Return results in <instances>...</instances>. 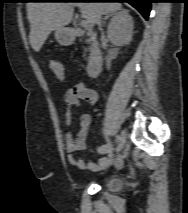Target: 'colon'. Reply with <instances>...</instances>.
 <instances>
[{
	"label": "colon",
	"instance_id": "1",
	"mask_svg": "<svg viewBox=\"0 0 188 213\" xmlns=\"http://www.w3.org/2000/svg\"><path fill=\"white\" fill-rule=\"evenodd\" d=\"M50 68L57 78L64 79V77H65L64 68L59 61L51 60L50 61Z\"/></svg>",
	"mask_w": 188,
	"mask_h": 213
}]
</instances>
